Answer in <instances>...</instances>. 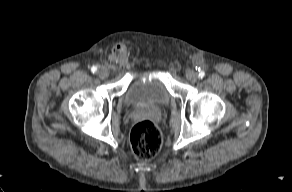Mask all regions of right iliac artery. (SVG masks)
Wrapping results in <instances>:
<instances>
[{
    "label": "right iliac artery",
    "instance_id": "82829eb1",
    "mask_svg": "<svg viewBox=\"0 0 292 192\" xmlns=\"http://www.w3.org/2000/svg\"><path fill=\"white\" fill-rule=\"evenodd\" d=\"M91 71H92L93 73H96V72H97V67H96V66H92V67H91Z\"/></svg>",
    "mask_w": 292,
    "mask_h": 192
}]
</instances>
